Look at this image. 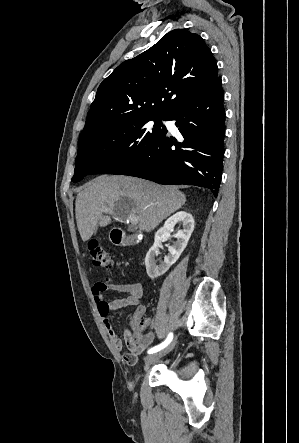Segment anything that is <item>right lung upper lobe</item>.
<instances>
[{
	"label": "right lung upper lobe",
	"instance_id": "cb5924a9",
	"mask_svg": "<svg viewBox=\"0 0 299 443\" xmlns=\"http://www.w3.org/2000/svg\"><path fill=\"white\" fill-rule=\"evenodd\" d=\"M217 77V63L204 40L186 29L172 30L100 84L80 138L118 122L164 117Z\"/></svg>",
	"mask_w": 299,
	"mask_h": 443
}]
</instances>
